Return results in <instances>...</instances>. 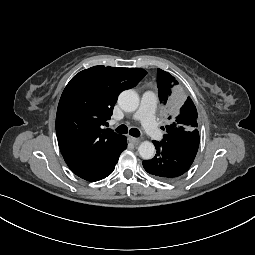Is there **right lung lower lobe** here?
Returning <instances> with one entry per match:
<instances>
[{
  "instance_id": "obj_1",
  "label": "right lung lower lobe",
  "mask_w": 255,
  "mask_h": 255,
  "mask_svg": "<svg viewBox=\"0 0 255 255\" xmlns=\"http://www.w3.org/2000/svg\"><path fill=\"white\" fill-rule=\"evenodd\" d=\"M126 147H127V143L125 140V143L117 152L106 157L105 159L98 161L89 170L76 175L81 177L82 179H85L91 182L99 181L106 178L113 172L121 152L124 151Z\"/></svg>"
}]
</instances>
